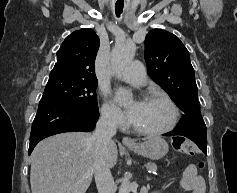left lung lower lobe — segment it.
Listing matches in <instances>:
<instances>
[{"label":"left lung lower lobe","instance_id":"obj_1","mask_svg":"<svg viewBox=\"0 0 237 193\" xmlns=\"http://www.w3.org/2000/svg\"><path fill=\"white\" fill-rule=\"evenodd\" d=\"M174 135H181V136L189 138L190 140L195 142L197 144V146L205 154H207V137H203V136L193 134V133H188V132H181V131H177V130H174L172 132L164 134V136H174Z\"/></svg>","mask_w":237,"mask_h":193}]
</instances>
